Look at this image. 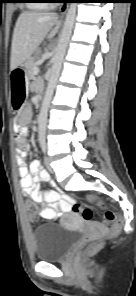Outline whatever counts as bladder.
<instances>
[{
	"instance_id": "31cf9c89",
	"label": "bladder",
	"mask_w": 136,
	"mask_h": 296,
	"mask_svg": "<svg viewBox=\"0 0 136 296\" xmlns=\"http://www.w3.org/2000/svg\"><path fill=\"white\" fill-rule=\"evenodd\" d=\"M78 230L62 224L46 223L33 231L34 255L39 261H57L65 257L77 241Z\"/></svg>"
}]
</instances>
